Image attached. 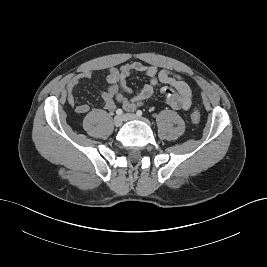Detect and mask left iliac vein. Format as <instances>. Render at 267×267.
Listing matches in <instances>:
<instances>
[{"mask_svg": "<svg viewBox=\"0 0 267 267\" xmlns=\"http://www.w3.org/2000/svg\"><path fill=\"white\" fill-rule=\"evenodd\" d=\"M124 120H143L144 122H146L147 124H149V121L146 119H142L141 117L135 115V114H125L123 116Z\"/></svg>", "mask_w": 267, "mask_h": 267, "instance_id": "4c4485c4", "label": "left iliac vein"}]
</instances>
